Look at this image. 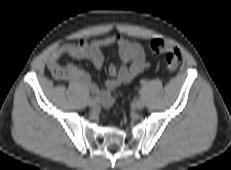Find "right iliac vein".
<instances>
[{
    "mask_svg": "<svg viewBox=\"0 0 231 170\" xmlns=\"http://www.w3.org/2000/svg\"><path fill=\"white\" fill-rule=\"evenodd\" d=\"M89 107H91L92 109H96L98 107V101L95 99H90L88 102Z\"/></svg>",
    "mask_w": 231,
    "mask_h": 170,
    "instance_id": "obj_1",
    "label": "right iliac vein"
}]
</instances>
